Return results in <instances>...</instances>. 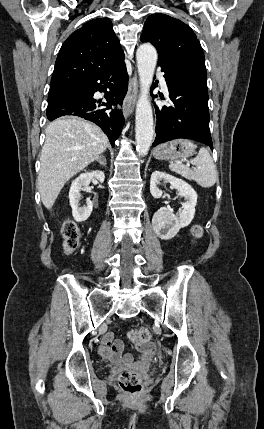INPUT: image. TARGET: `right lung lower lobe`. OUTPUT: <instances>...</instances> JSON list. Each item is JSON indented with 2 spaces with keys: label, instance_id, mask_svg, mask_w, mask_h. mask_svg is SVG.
Segmentation results:
<instances>
[{
  "label": "right lung lower lobe",
  "instance_id": "right-lung-lower-lobe-1",
  "mask_svg": "<svg viewBox=\"0 0 264 429\" xmlns=\"http://www.w3.org/2000/svg\"><path fill=\"white\" fill-rule=\"evenodd\" d=\"M124 59L125 57H121L90 79L48 101L47 118L52 121L60 116L73 115L90 120L101 127L114 147V142L121 133L124 117L121 110L110 109L112 105L122 104L128 89ZM96 91L104 92L107 102L94 99Z\"/></svg>",
  "mask_w": 264,
  "mask_h": 429
}]
</instances>
